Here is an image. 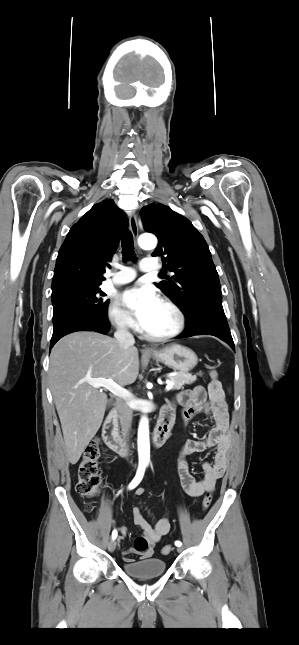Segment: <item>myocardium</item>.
Segmentation results:
<instances>
[{"label": "myocardium", "mask_w": 299, "mask_h": 645, "mask_svg": "<svg viewBox=\"0 0 299 645\" xmlns=\"http://www.w3.org/2000/svg\"><path fill=\"white\" fill-rule=\"evenodd\" d=\"M161 303L165 305L175 317V325L169 332L162 334H152L147 332L144 328L141 329L143 336L151 341H165L180 335L185 328V315L182 310L173 301L168 298H162Z\"/></svg>", "instance_id": "obj_1"}]
</instances>
